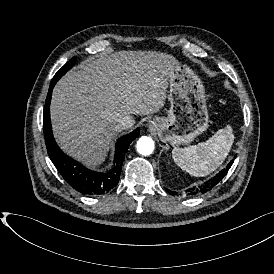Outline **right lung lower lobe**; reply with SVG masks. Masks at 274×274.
I'll use <instances>...</instances> for the list:
<instances>
[{
  "instance_id": "98d812e1",
  "label": "right lung lower lobe",
  "mask_w": 274,
  "mask_h": 274,
  "mask_svg": "<svg viewBox=\"0 0 274 274\" xmlns=\"http://www.w3.org/2000/svg\"><path fill=\"white\" fill-rule=\"evenodd\" d=\"M56 82L57 81H51L50 83L43 114V131L48 155L64 180L75 190L82 194L92 196L105 194L118 184L122 170L123 152L127 146L138 137L140 128L135 129L117 141L114 159L116 165L112 170L108 173H98L87 169L64 154L54 140L49 106L52 89Z\"/></svg>"
}]
</instances>
